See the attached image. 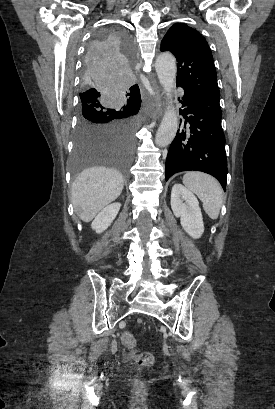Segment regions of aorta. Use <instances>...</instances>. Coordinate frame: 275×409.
Listing matches in <instances>:
<instances>
[{"label":"aorta","mask_w":275,"mask_h":409,"mask_svg":"<svg viewBox=\"0 0 275 409\" xmlns=\"http://www.w3.org/2000/svg\"><path fill=\"white\" fill-rule=\"evenodd\" d=\"M155 68L159 82L169 98L161 124L156 132L155 144L157 146H168L176 136L178 130L177 112L172 106V92L176 78V58L170 52H162L156 58Z\"/></svg>","instance_id":"obj_1"}]
</instances>
